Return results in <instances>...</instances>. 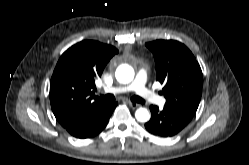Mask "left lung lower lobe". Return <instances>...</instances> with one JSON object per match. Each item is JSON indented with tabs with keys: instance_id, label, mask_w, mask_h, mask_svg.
<instances>
[{
	"instance_id": "1",
	"label": "left lung lower lobe",
	"mask_w": 249,
	"mask_h": 165,
	"mask_svg": "<svg viewBox=\"0 0 249 165\" xmlns=\"http://www.w3.org/2000/svg\"><path fill=\"white\" fill-rule=\"evenodd\" d=\"M150 110L151 119L145 124V128L150 133L161 137L176 135L193 118V115L167 106L159 110L157 106L151 105Z\"/></svg>"
}]
</instances>
